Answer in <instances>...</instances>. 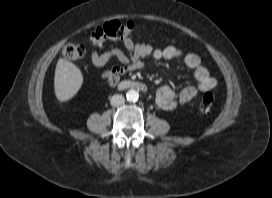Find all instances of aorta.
Returning <instances> with one entry per match:
<instances>
[{"instance_id": "762f6f07", "label": "aorta", "mask_w": 272, "mask_h": 198, "mask_svg": "<svg viewBox=\"0 0 272 198\" xmlns=\"http://www.w3.org/2000/svg\"><path fill=\"white\" fill-rule=\"evenodd\" d=\"M126 97L128 101L135 102L138 100L139 94L136 90L131 89L127 92Z\"/></svg>"}]
</instances>
